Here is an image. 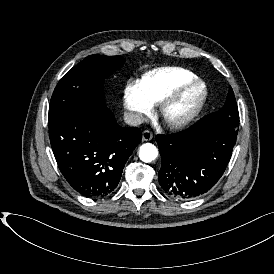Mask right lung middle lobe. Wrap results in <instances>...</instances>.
I'll list each match as a JSON object with an SVG mask.
<instances>
[{
    "instance_id": "1",
    "label": "right lung middle lobe",
    "mask_w": 274,
    "mask_h": 274,
    "mask_svg": "<svg viewBox=\"0 0 274 274\" xmlns=\"http://www.w3.org/2000/svg\"><path fill=\"white\" fill-rule=\"evenodd\" d=\"M125 62L121 56L90 55L58 82L49 104V120L67 111L105 105L104 78Z\"/></svg>"
}]
</instances>
